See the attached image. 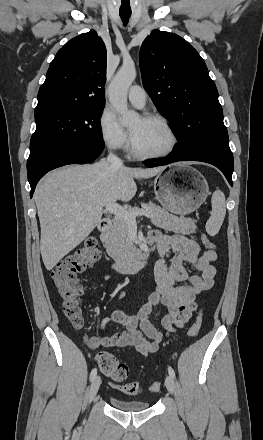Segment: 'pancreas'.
<instances>
[{
  "label": "pancreas",
  "mask_w": 263,
  "mask_h": 440,
  "mask_svg": "<svg viewBox=\"0 0 263 440\" xmlns=\"http://www.w3.org/2000/svg\"><path fill=\"white\" fill-rule=\"evenodd\" d=\"M138 210L149 211L153 214L151 222L165 231H173L184 235L196 232V220L186 217H177L169 214L166 210L149 202L144 204L142 209L133 207L128 209L130 212ZM105 247L108 254L116 263H122L135 257L138 250L134 246V241L130 237V225L127 220L122 217H115L113 225L106 234Z\"/></svg>",
  "instance_id": "1"
}]
</instances>
